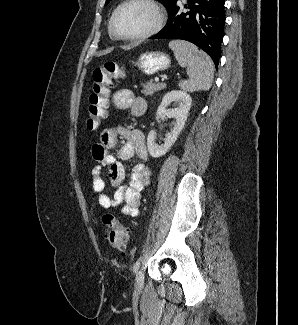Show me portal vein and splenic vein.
<instances>
[{
    "label": "portal vein and splenic vein",
    "mask_w": 298,
    "mask_h": 325,
    "mask_svg": "<svg viewBox=\"0 0 298 325\" xmlns=\"http://www.w3.org/2000/svg\"><path fill=\"white\" fill-rule=\"evenodd\" d=\"M154 80H156V82H158V80H159L158 76H155Z\"/></svg>",
    "instance_id": "18ae733b"
}]
</instances>
